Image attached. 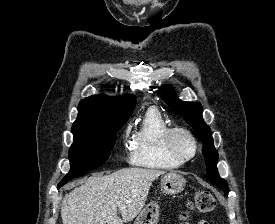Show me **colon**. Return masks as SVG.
<instances>
[{
	"instance_id": "1",
	"label": "colon",
	"mask_w": 275,
	"mask_h": 224,
	"mask_svg": "<svg viewBox=\"0 0 275 224\" xmlns=\"http://www.w3.org/2000/svg\"><path fill=\"white\" fill-rule=\"evenodd\" d=\"M215 204L216 201L210 192L198 190L194 195L191 208L201 213H207L214 209Z\"/></svg>"
}]
</instances>
